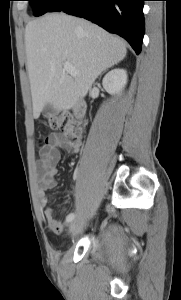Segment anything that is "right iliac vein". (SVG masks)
I'll list each match as a JSON object with an SVG mask.
<instances>
[{"label": "right iliac vein", "instance_id": "obj_1", "mask_svg": "<svg viewBox=\"0 0 181 300\" xmlns=\"http://www.w3.org/2000/svg\"><path fill=\"white\" fill-rule=\"evenodd\" d=\"M81 222H82V218L81 217H78L75 220H73L70 223V225H69V232L70 233H75L78 230Z\"/></svg>", "mask_w": 181, "mask_h": 300}]
</instances>
